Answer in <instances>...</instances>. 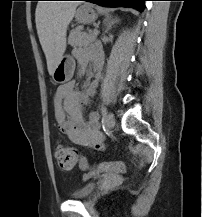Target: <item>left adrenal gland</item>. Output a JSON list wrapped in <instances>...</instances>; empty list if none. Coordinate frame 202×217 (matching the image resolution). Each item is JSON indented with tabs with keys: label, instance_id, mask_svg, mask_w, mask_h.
<instances>
[{
	"label": "left adrenal gland",
	"instance_id": "a2214340",
	"mask_svg": "<svg viewBox=\"0 0 202 217\" xmlns=\"http://www.w3.org/2000/svg\"><path fill=\"white\" fill-rule=\"evenodd\" d=\"M117 22H118V19H117V18L105 22V25H106V30H105V32L109 31V30L111 29L112 25H113L114 23H117Z\"/></svg>",
	"mask_w": 202,
	"mask_h": 217
}]
</instances>
